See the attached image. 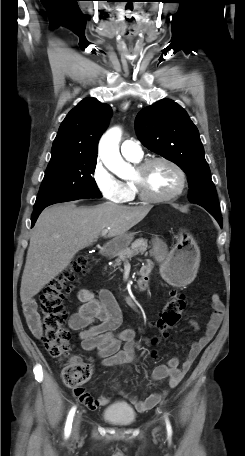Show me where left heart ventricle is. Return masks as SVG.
<instances>
[{
    "mask_svg": "<svg viewBox=\"0 0 245 456\" xmlns=\"http://www.w3.org/2000/svg\"><path fill=\"white\" fill-rule=\"evenodd\" d=\"M134 177H136V172ZM148 191L156 196H165L174 192L179 186L177 172L165 163H156L149 168L145 176Z\"/></svg>",
    "mask_w": 245,
    "mask_h": 456,
    "instance_id": "obj_1",
    "label": "left heart ventricle"
}]
</instances>
